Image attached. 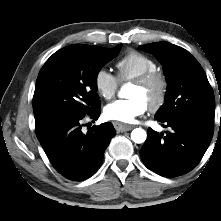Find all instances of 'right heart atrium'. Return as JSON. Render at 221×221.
I'll return each instance as SVG.
<instances>
[{
  "label": "right heart atrium",
  "instance_id": "d8ad5b80",
  "mask_svg": "<svg viewBox=\"0 0 221 221\" xmlns=\"http://www.w3.org/2000/svg\"><path fill=\"white\" fill-rule=\"evenodd\" d=\"M94 85L97 93L104 99H111L119 86L118 78L106 68H99L94 76Z\"/></svg>",
  "mask_w": 221,
  "mask_h": 221
}]
</instances>
